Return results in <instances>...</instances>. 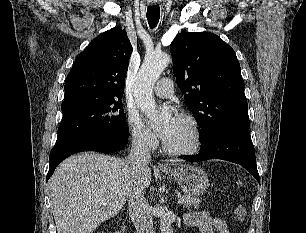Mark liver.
<instances>
[{"instance_id": "obj_1", "label": "liver", "mask_w": 306, "mask_h": 233, "mask_svg": "<svg viewBox=\"0 0 306 233\" xmlns=\"http://www.w3.org/2000/svg\"><path fill=\"white\" fill-rule=\"evenodd\" d=\"M151 179L148 166L135 171L127 159L95 152L67 158L49 180L58 233H92L118 214L137 185L144 190Z\"/></svg>"}]
</instances>
